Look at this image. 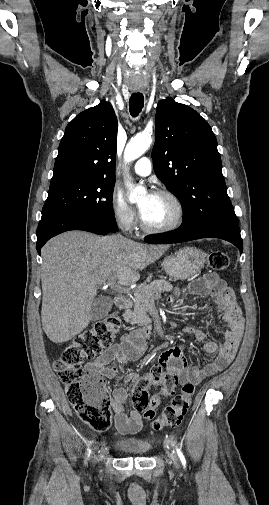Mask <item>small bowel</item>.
Here are the masks:
<instances>
[{
	"instance_id": "1",
	"label": "small bowel",
	"mask_w": 269,
	"mask_h": 505,
	"mask_svg": "<svg viewBox=\"0 0 269 505\" xmlns=\"http://www.w3.org/2000/svg\"><path fill=\"white\" fill-rule=\"evenodd\" d=\"M188 292L200 296L212 297L217 309L227 325L224 341H205L206 332L201 328H187L186 331L204 342L203 349L213 356V359L203 367L188 364L181 346L171 347L163 351L158 362L152 367L174 376L179 384L201 383L205 378L224 370L233 360L238 349L244 328V319L232 290L216 273L208 272L202 278L196 279L188 286ZM143 344L134 342L130 336L113 344L98 357L86 365L90 374L112 379L116 376L118 366L128 360L137 359L143 352ZM135 375L129 378L135 379ZM127 391L124 387H115L112 391V408L116 430L121 435L136 434L143 426L142 416L137 410L129 414L125 411L124 403Z\"/></svg>"
}]
</instances>
